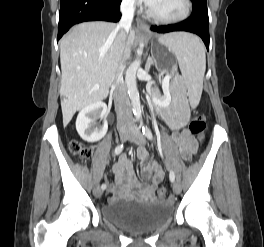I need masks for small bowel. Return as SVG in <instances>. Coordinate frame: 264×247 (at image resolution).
<instances>
[{"label":"small bowel","instance_id":"c3829d8e","mask_svg":"<svg viewBox=\"0 0 264 247\" xmlns=\"http://www.w3.org/2000/svg\"><path fill=\"white\" fill-rule=\"evenodd\" d=\"M188 119V112L179 115H166V120L172 129V138L176 142L184 160L190 161L197 149V143L193 136L186 130L180 131ZM137 157L143 164L141 177L150 181L144 186L137 181L131 161L126 156H121L113 167L117 185L110 186L113 194L111 200L116 197L127 198L133 194L144 199H152L155 190L163 180L164 174L160 165L156 162H148V149L141 147L137 150ZM134 190V193L132 192Z\"/></svg>","mask_w":264,"mask_h":247}]
</instances>
